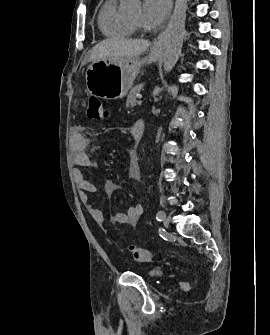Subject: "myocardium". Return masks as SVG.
Segmentation results:
<instances>
[{"label": "myocardium", "mask_w": 270, "mask_h": 335, "mask_svg": "<svg viewBox=\"0 0 270 335\" xmlns=\"http://www.w3.org/2000/svg\"><path fill=\"white\" fill-rule=\"evenodd\" d=\"M128 23L130 24V26L133 28V29H136L138 26H135L131 21L128 20Z\"/></svg>", "instance_id": "f54148a6"}]
</instances>
